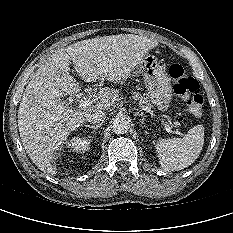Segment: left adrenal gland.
Here are the masks:
<instances>
[{
	"label": "left adrenal gland",
	"mask_w": 233,
	"mask_h": 233,
	"mask_svg": "<svg viewBox=\"0 0 233 233\" xmlns=\"http://www.w3.org/2000/svg\"><path fill=\"white\" fill-rule=\"evenodd\" d=\"M137 114H139V113H137ZM140 116H141L140 122H141L142 124H144L145 115L141 112V113H140ZM144 127H145V126H144ZM146 133H147V132H146Z\"/></svg>",
	"instance_id": "1"
}]
</instances>
